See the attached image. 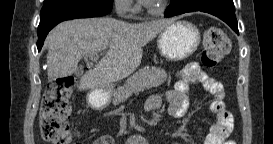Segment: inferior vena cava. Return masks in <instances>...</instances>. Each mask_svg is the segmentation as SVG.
<instances>
[{
  "instance_id": "1",
  "label": "inferior vena cava",
  "mask_w": 273,
  "mask_h": 144,
  "mask_svg": "<svg viewBox=\"0 0 273 144\" xmlns=\"http://www.w3.org/2000/svg\"><path fill=\"white\" fill-rule=\"evenodd\" d=\"M129 1L128 0H117L116 1V12L119 16H123L128 10Z\"/></svg>"
}]
</instances>
